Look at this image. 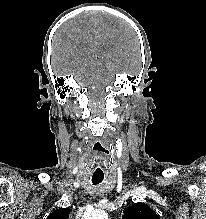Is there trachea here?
I'll return each mask as SVG.
<instances>
[{
    "label": "trachea",
    "mask_w": 206,
    "mask_h": 219,
    "mask_svg": "<svg viewBox=\"0 0 206 219\" xmlns=\"http://www.w3.org/2000/svg\"><path fill=\"white\" fill-rule=\"evenodd\" d=\"M104 179V174H93L92 176V183L93 185H97L101 183Z\"/></svg>",
    "instance_id": "3493384b"
}]
</instances>
